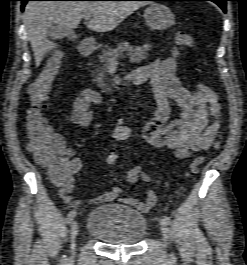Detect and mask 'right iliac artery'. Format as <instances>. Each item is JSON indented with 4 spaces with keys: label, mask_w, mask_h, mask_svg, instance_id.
<instances>
[{
    "label": "right iliac artery",
    "mask_w": 247,
    "mask_h": 265,
    "mask_svg": "<svg viewBox=\"0 0 247 265\" xmlns=\"http://www.w3.org/2000/svg\"><path fill=\"white\" fill-rule=\"evenodd\" d=\"M75 215H76V210H72V211H70V212L68 213V215H67L66 222H67L68 224H70V223L73 221Z\"/></svg>",
    "instance_id": "obj_1"
}]
</instances>
